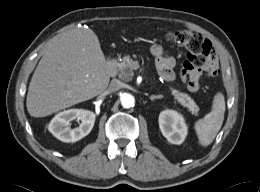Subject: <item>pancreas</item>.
<instances>
[{
    "mask_svg": "<svg viewBox=\"0 0 260 192\" xmlns=\"http://www.w3.org/2000/svg\"><path fill=\"white\" fill-rule=\"evenodd\" d=\"M133 63L134 60L129 55H126L122 57L120 62L117 64V74L122 80H131L133 76ZM169 89L178 103L183 107H186L193 115H198L199 107L188 94L180 92L173 87H169Z\"/></svg>",
    "mask_w": 260,
    "mask_h": 192,
    "instance_id": "cf45deb5",
    "label": "pancreas"
}]
</instances>
